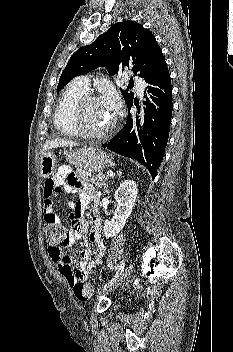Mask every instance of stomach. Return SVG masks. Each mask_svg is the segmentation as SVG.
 <instances>
[{"label":"stomach","mask_w":233,"mask_h":352,"mask_svg":"<svg viewBox=\"0 0 233 352\" xmlns=\"http://www.w3.org/2000/svg\"><path fill=\"white\" fill-rule=\"evenodd\" d=\"M70 164L89 172H101L113 164L112 157L97 147H83L67 154ZM58 167L57 157L51 151L45 152L40 160V176L48 178Z\"/></svg>","instance_id":"1"}]
</instances>
